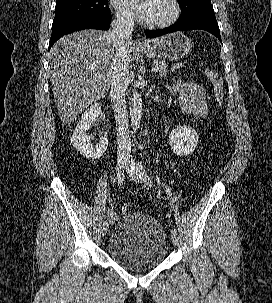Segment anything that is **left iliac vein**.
Listing matches in <instances>:
<instances>
[{
  "instance_id": "4c4485c4",
  "label": "left iliac vein",
  "mask_w": 272,
  "mask_h": 303,
  "mask_svg": "<svg viewBox=\"0 0 272 303\" xmlns=\"http://www.w3.org/2000/svg\"><path fill=\"white\" fill-rule=\"evenodd\" d=\"M126 172L129 175V177L135 182H141L143 179L139 167L135 164V162L132 159H129L127 161ZM171 239H172V242L175 245H177V243H178L177 234H175L174 232H171Z\"/></svg>"
}]
</instances>
